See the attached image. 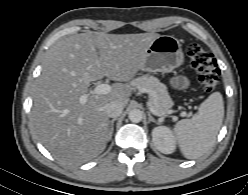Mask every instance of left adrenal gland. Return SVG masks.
Segmentation results:
<instances>
[{
	"mask_svg": "<svg viewBox=\"0 0 248 195\" xmlns=\"http://www.w3.org/2000/svg\"><path fill=\"white\" fill-rule=\"evenodd\" d=\"M148 122H154L156 124H160L158 121H156L150 113H148Z\"/></svg>",
	"mask_w": 248,
	"mask_h": 195,
	"instance_id": "left-adrenal-gland-1",
	"label": "left adrenal gland"
}]
</instances>
